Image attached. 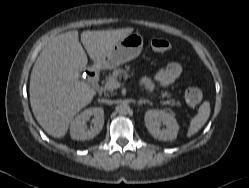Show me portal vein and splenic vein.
Listing matches in <instances>:
<instances>
[{"instance_id": "1", "label": "portal vein and splenic vein", "mask_w": 249, "mask_h": 188, "mask_svg": "<svg viewBox=\"0 0 249 188\" xmlns=\"http://www.w3.org/2000/svg\"><path fill=\"white\" fill-rule=\"evenodd\" d=\"M121 85H122V83H120L118 81H115V82H113L111 84L104 85L103 88H106V89H116V88H119Z\"/></svg>"}]
</instances>
